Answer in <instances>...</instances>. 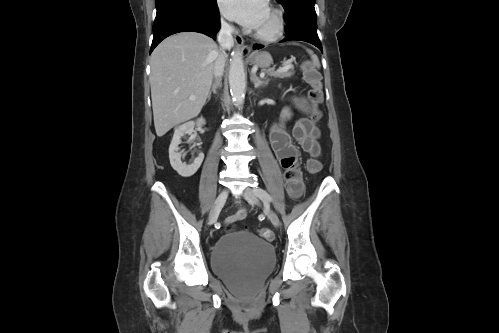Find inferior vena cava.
<instances>
[{"label":"inferior vena cava","instance_id":"602c4592","mask_svg":"<svg viewBox=\"0 0 499 333\" xmlns=\"http://www.w3.org/2000/svg\"><path fill=\"white\" fill-rule=\"evenodd\" d=\"M233 27L225 22L221 23V28L218 34V42L221 46V51L214 64V76L216 79H220L224 72L227 51H229L233 46Z\"/></svg>","mask_w":499,"mask_h":333}]
</instances>
